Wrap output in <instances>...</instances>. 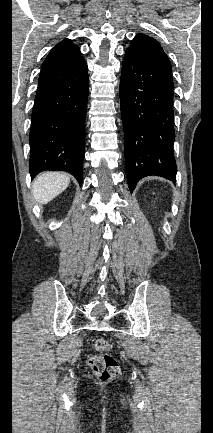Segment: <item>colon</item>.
<instances>
[{"instance_id":"5ec220e1","label":"colon","mask_w":213,"mask_h":433,"mask_svg":"<svg viewBox=\"0 0 213 433\" xmlns=\"http://www.w3.org/2000/svg\"><path fill=\"white\" fill-rule=\"evenodd\" d=\"M110 341L99 338L94 342V348L99 353L88 358V366L100 380L106 381L115 377L119 372L117 361L107 352L111 349Z\"/></svg>"}]
</instances>
